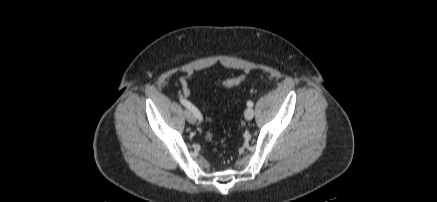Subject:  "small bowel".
<instances>
[{
    "instance_id": "small-bowel-1",
    "label": "small bowel",
    "mask_w": 437,
    "mask_h": 202,
    "mask_svg": "<svg viewBox=\"0 0 437 202\" xmlns=\"http://www.w3.org/2000/svg\"><path fill=\"white\" fill-rule=\"evenodd\" d=\"M189 75L186 76H182L179 80L180 85H181V89H182V95L187 98L190 94V90L188 87V83H187V78H189Z\"/></svg>"
}]
</instances>
